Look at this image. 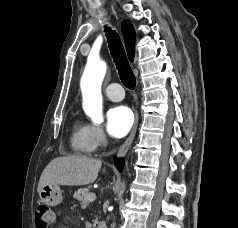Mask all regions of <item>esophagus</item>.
I'll return each mask as SVG.
<instances>
[{
	"label": "esophagus",
	"mask_w": 238,
	"mask_h": 228,
	"mask_svg": "<svg viewBox=\"0 0 238 228\" xmlns=\"http://www.w3.org/2000/svg\"><path fill=\"white\" fill-rule=\"evenodd\" d=\"M138 120H139L138 113H136L135 122L132 127V130H131L128 138L126 139V141L123 143V145L120 147V149L118 151L119 157H123L127 153L128 149L130 148L131 143H132V141L135 137L136 131H137Z\"/></svg>",
	"instance_id": "34e87169"
}]
</instances>
